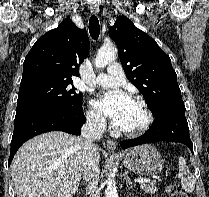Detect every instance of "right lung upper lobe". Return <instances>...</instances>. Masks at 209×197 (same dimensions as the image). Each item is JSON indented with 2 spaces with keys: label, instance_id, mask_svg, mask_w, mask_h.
Segmentation results:
<instances>
[{
  "label": "right lung upper lobe",
  "instance_id": "cb5924a9",
  "mask_svg": "<svg viewBox=\"0 0 209 197\" xmlns=\"http://www.w3.org/2000/svg\"><path fill=\"white\" fill-rule=\"evenodd\" d=\"M90 44L85 30L69 18L39 38L23 63L21 84L37 80H72L87 57Z\"/></svg>",
  "mask_w": 209,
  "mask_h": 197
}]
</instances>
